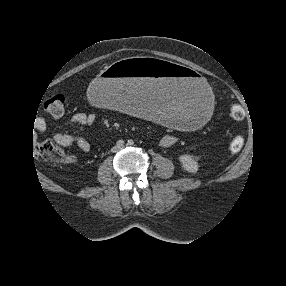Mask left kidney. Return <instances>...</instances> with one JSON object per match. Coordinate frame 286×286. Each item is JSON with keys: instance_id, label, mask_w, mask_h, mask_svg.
<instances>
[{"instance_id": "left-kidney-1", "label": "left kidney", "mask_w": 286, "mask_h": 286, "mask_svg": "<svg viewBox=\"0 0 286 286\" xmlns=\"http://www.w3.org/2000/svg\"><path fill=\"white\" fill-rule=\"evenodd\" d=\"M178 160L182 164V167L185 171L190 173H195L198 171V163L190 155H181L178 157Z\"/></svg>"}]
</instances>
